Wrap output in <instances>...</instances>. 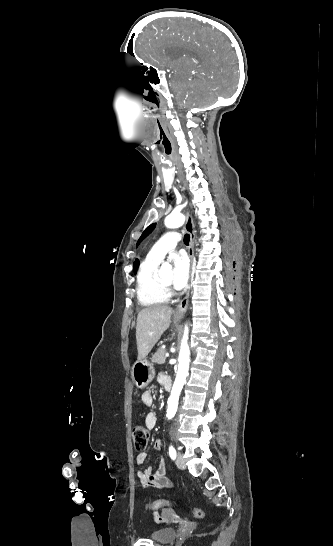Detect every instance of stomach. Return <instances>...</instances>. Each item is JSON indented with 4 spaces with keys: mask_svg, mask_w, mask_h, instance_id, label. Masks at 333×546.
Segmentation results:
<instances>
[{
    "mask_svg": "<svg viewBox=\"0 0 333 546\" xmlns=\"http://www.w3.org/2000/svg\"><path fill=\"white\" fill-rule=\"evenodd\" d=\"M131 375L137 388H144L153 380L155 369L146 359H138L132 366Z\"/></svg>",
    "mask_w": 333,
    "mask_h": 546,
    "instance_id": "1",
    "label": "stomach"
}]
</instances>
